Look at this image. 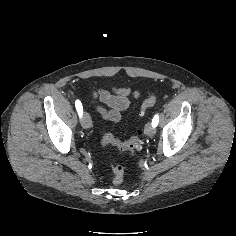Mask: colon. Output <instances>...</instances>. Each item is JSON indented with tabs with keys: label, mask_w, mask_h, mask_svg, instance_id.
Segmentation results:
<instances>
[{
	"label": "colon",
	"mask_w": 236,
	"mask_h": 236,
	"mask_svg": "<svg viewBox=\"0 0 236 236\" xmlns=\"http://www.w3.org/2000/svg\"><path fill=\"white\" fill-rule=\"evenodd\" d=\"M157 102V96H150L143 101L140 107V112L143 113L147 109L153 107ZM100 146H113L121 152L134 153L142 148V140L140 138V132L134 133L129 139L121 140L111 134L104 135L100 140ZM111 171L113 174L112 182L114 185L122 183L124 178V169L120 165H111Z\"/></svg>",
	"instance_id": "5ec220e1"
}]
</instances>
